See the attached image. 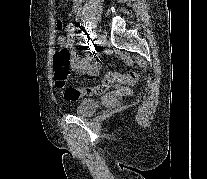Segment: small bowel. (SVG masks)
I'll use <instances>...</instances> for the list:
<instances>
[{
  "mask_svg": "<svg viewBox=\"0 0 207 179\" xmlns=\"http://www.w3.org/2000/svg\"><path fill=\"white\" fill-rule=\"evenodd\" d=\"M83 0H72V13L80 20L79 27L83 29L85 20L83 18ZM76 27L69 24L66 27L67 45L72 48L71 50V66L73 70L81 74H88L96 77L100 72V64L93 62L92 52L89 47H85L86 57L81 58L79 52L74 47L77 44V37L75 35Z\"/></svg>",
  "mask_w": 207,
  "mask_h": 179,
  "instance_id": "1",
  "label": "small bowel"
}]
</instances>
